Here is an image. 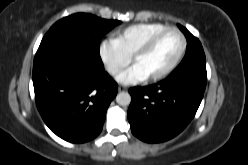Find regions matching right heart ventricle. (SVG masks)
Returning <instances> with one entry per match:
<instances>
[{"mask_svg":"<svg viewBox=\"0 0 248 165\" xmlns=\"http://www.w3.org/2000/svg\"><path fill=\"white\" fill-rule=\"evenodd\" d=\"M161 23H138L118 30L114 39L129 55L133 56L135 51L155 32L165 28Z\"/></svg>","mask_w":248,"mask_h":165,"instance_id":"right-heart-ventricle-1","label":"right heart ventricle"}]
</instances>
